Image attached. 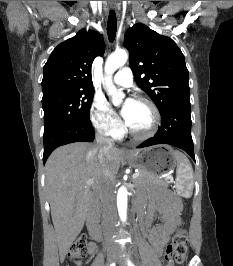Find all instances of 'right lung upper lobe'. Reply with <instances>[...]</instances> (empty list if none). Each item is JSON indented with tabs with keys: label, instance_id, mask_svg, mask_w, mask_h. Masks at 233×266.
Returning <instances> with one entry per match:
<instances>
[{
	"label": "right lung upper lobe",
	"instance_id": "right-lung-upper-lobe-1",
	"mask_svg": "<svg viewBox=\"0 0 233 266\" xmlns=\"http://www.w3.org/2000/svg\"><path fill=\"white\" fill-rule=\"evenodd\" d=\"M104 51L103 36L98 32H86L85 29L60 43L44 66L43 95L66 90L92 89L91 66L94 59L102 56Z\"/></svg>",
	"mask_w": 233,
	"mask_h": 266
}]
</instances>
